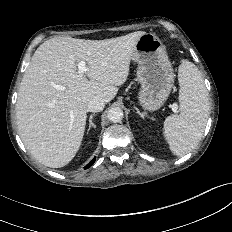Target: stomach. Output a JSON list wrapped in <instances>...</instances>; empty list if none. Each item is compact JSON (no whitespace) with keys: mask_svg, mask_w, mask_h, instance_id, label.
I'll return each mask as SVG.
<instances>
[{"mask_svg":"<svg viewBox=\"0 0 232 232\" xmlns=\"http://www.w3.org/2000/svg\"><path fill=\"white\" fill-rule=\"evenodd\" d=\"M132 60L138 64L139 101L145 109L155 111L167 100L175 78L162 41L153 33L142 35Z\"/></svg>","mask_w":232,"mask_h":232,"instance_id":"obj_1","label":"stomach"}]
</instances>
